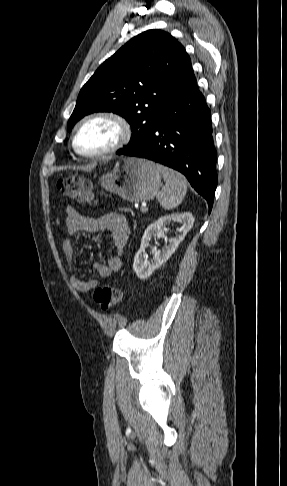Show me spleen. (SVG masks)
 Returning <instances> with one entry per match:
<instances>
[{"instance_id":"obj_1","label":"spleen","mask_w":287,"mask_h":486,"mask_svg":"<svg viewBox=\"0 0 287 486\" xmlns=\"http://www.w3.org/2000/svg\"><path fill=\"white\" fill-rule=\"evenodd\" d=\"M157 166L165 181V186L157 194V199L165 210L174 209L181 204L186 195L187 180L173 169L162 165Z\"/></svg>"}]
</instances>
